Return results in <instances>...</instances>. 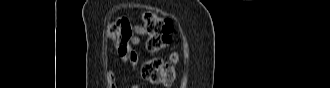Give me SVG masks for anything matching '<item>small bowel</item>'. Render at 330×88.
Listing matches in <instances>:
<instances>
[{
    "label": "small bowel",
    "mask_w": 330,
    "mask_h": 88,
    "mask_svg": "<svg viewBox=\"0 0 330 88\" xmlns=\"http://www.w3.org/2000/svg\"><path fill=\"white\" fill-rule=\"evenodd\" d=\"M134 36L130 40L131 46H136L140 43L141 36L146 34L144 28L140 25L133 26ZM123 60L129 61L131 64L136 65L138 63V55L137 53L131 48L129 55L126 57H122ZM107 80L108 84L111 88H116V75L114 71H109L107 73ZM132 88H138L137 85H133Z\"/></svg>",
    "instance_id": "c3829d8e"
}]
</instances>
